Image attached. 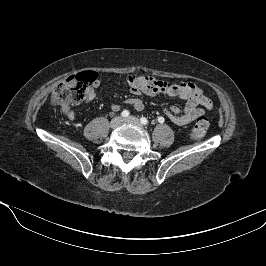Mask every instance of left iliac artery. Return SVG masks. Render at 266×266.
Masks as SVG:
<instances>
[{
  "instance_id": "left-iliac-artery-1",
  "label": "left iliac artery",
  "mask_w": 266,
  "mask_h": 266,
  "mask_svg": "<svg viewBox=\"0 0 266 266\" xmlns=\"http://www.w3.org/2000/svg\"><path fill=\"white\" fill-rule=\"evenodd\" d=\"M140 121H141V123H142L143 125H147V124H148V120H147V118H145V117H141V118H140ZM158 121H160V119H158Z\"/></svg>"
}]
</instances>
